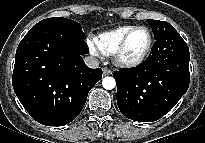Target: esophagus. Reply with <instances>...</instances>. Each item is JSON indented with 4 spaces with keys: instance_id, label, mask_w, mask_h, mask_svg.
Returning <instances> with one entry per match:
<instances>
[{
    "instance_id": "34e87169",
    "label": "esophagus",
    "mask_w": 205,
    "mask_h": 143,
    "mask_svg": "<svg viewBox=\"0 0 205 143\" xmlns=\"http://www.w3.org/2000/svg\"><path fill=\"white\" fill-rule=\"evenodd\" d=\"M102 71H103V75L104 76H107V75H111L112 74V71L109 69V68H103L102 69Z\"/></svg>"
}]
</instances>
